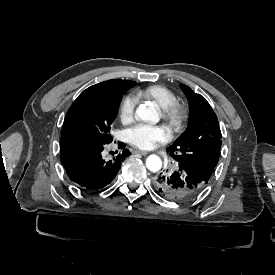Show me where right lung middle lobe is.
I'll return each instance as SVG.
<instances>
[{"mask_svg": "<svg viewBox=\"0 0 275 275\" xmlns=\"http://www.w3.org/2000/svg\"><path fill=\"white\" fill-rule=\"evenodd\" d=\"M123 93L124 91L76 99L64 119L61 140L85 138L110 143L111 124Z\"/></svg>", "mask_w": 275, "mask_h": 275, "instance_id": "dd1d6c3e", "label": "right lung middle lobe"}]
</instances>
